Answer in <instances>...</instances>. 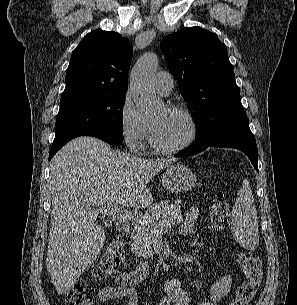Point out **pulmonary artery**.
Returning a JSON list of instances; mask_svg holds the SVG:
<instances>
[{
    "label": "pulmonary artery",
    "mask_w": 297,
    "mask_h": 305,
    "mask_svg": "<svg viewBox=\"0 0 297 305\" xmlns=\"http://www.w3.org/2000/svg\"><path fill=\"white\" fill-rule=\"evenodd\" d=\"M156 90L162 95H169L174 87L172 75L166 71H159L154 79Z\"/></svg>",
    "instance_id": "e3ab8cb5"
}]
</instances>
